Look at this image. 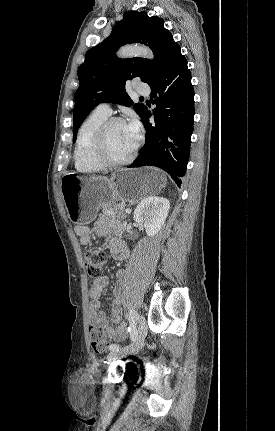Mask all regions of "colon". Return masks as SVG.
I'll return each mask as SVG.
<instances>
[{
	"label": "colon",
	"instance_id": "obj_1",
	"mask_svg": "<svg viewBox=\"0 0 275 431\" xmlns=\"http://www.w3.org/2000/svg\"><path fill=\"white\" fill-rule=\"evenodd\" d=\"M87 272L90 277L98 279L101 277L104 270L107 256L102 249H90L84 256ZM90 344L94 352L102 353L108 346V340L105 332L96 325L89 328Z\"/></svg>",
	"mask_w": 275,
	"mask_h": 431
}]
</instances>
